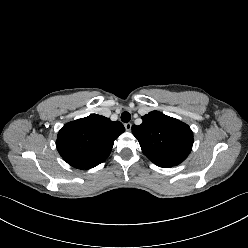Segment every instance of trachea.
Returning a JSON list of instances; mask_svg holds the SVG:
<instances>
[{"instance_id":"obj_1","label":"trachea","mask_w":248,"mask_h":248,"mask_svg":"<svg viewBox=\"0 0 248 248\" xmlns=\"http://www.w3.org/2000/svg\"><path fill=\"white\" fill-rule=\"evenodd\" d=\"M131 119V115L129 112L125 111L121 114V120L125 123L129 122Z\"/></svg>"}]
</instances>
